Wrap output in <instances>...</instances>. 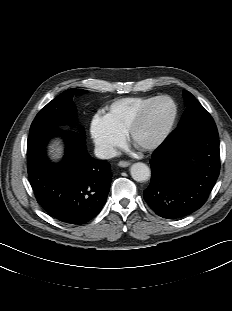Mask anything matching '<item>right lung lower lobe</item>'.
I'll use <instances>...</instances> for the list:
<instances>
[{
  "mask_svg": "<svg viewBox=\"0 0 232 311\" xmlns=\"http://www.w3.org/2000/svg\"><path fill=\"white\" fill-rule=\"evenodd\" d=\"M59 133L54 127L29 134L28 175L46 212L61 222L81 225L96 217L105 204L112 179L110 165L90 157L83 133L66 135L63 161L51 163L45 146Z\"/></svg>",
  "mask_w": 232,
  "mask_h": 311,
  "instance_id": "98d812e1",
  "label": "right lung lower lobe"
}]
</instances>
